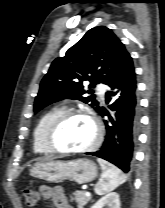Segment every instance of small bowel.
Returning a JSON list of instances; mask_svg holds the SVG:
<instances>
[{
    "label": "small bowel",
    "instance_id": "1",
    "mask_svg": "<svg viewBox=\"0 0 165 208\" xmlns=\"http://www.w3.org/2000/svg\"><path fill=\"white\" fill-rule=\"evenodd\" d=\"M40 193L44 199L51 200L56 208H73L68 202L61 186H41Z\"/></svg>",
    "mask_w": 165,
    "mask_h": 208
}]
</instances>
